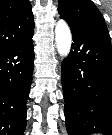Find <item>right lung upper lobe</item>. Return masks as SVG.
I'll return each mask as SVG.
<instances>
[{"label": "right lung upper lobe", "instance_id": "right-lung-upper-lobe-1", "mask_svg": "<svg viewBox=\"0 0 112 135\" xmlns=\"http://www.w3.org/2000/svg\"><path fill=\"white\" fill-rule=\"evenodd\" d=\"M34 31L29 0H0V53Z\"/></svg>", "mask_w": 112, "mask_h": 135}]
</instances>
